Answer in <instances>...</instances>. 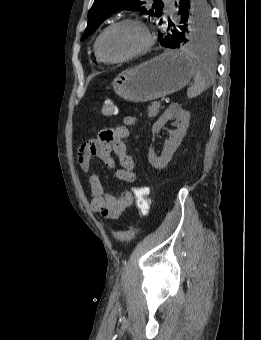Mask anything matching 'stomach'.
<instances>
[{"mask_svg":"<svg viewBox=\"0 0 261 340\" xmlns=\"http://www.w3.org/2000/svg\"><path fill=\"white\" fill-rule=\"evenodd\" d=\"M193 65L182 53L166 51L118 74L113 89L129 102L152 101L185 87L194 75Z\"/></svg>","mask_w":261,"mask_h":340,"instance_id":"obj_1","label":"stomach"}]
</instances>
